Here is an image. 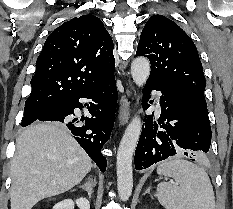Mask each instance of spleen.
<instances>
[{"instance_id": "1", "label": "spleen", "mask_w": 233, "mask_h": 209, "mask_svg": "<svg viewBox=\"0 0 233 209\" xmlns=\"http://www.w3.org/2000/svg\"><path fill=\"white\" fill-rule=\"evenodd\" d=\"M157 173L176 181V185L161 182L157 186L156 196L166 209H215L213 187L200 166L175 158L161 163Z\"/></svg>"}]
</instances>
